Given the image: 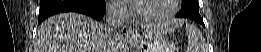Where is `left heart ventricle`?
<instances>
[{
    "instance_id": "b2bd125f",
    "label": "left heart ventricle",
    "mask_w": 261,
    "mask_h": 52,
    "mask_svg": "<svg viewBox=\"0 0 261 52\" xmlns=\"http://www.w3.org/2000/svg\"><path fill=\"white\" fill-rule=\"evenodd\" d=\"M170 0H147L138 1L137 9L144 16H158L168 11Z\"/></svg>"
}]
</instances>
